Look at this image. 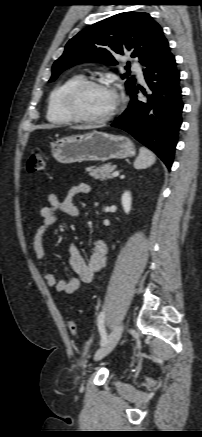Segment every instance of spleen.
<instances>
[{
	"instance_id": "1",
	"label": "spleen",
	"mask_w": 202,
	"mask_h": 437,
	"mask_svg": "<svg viewBox=\"0 0 202 437\" xmlns=\"http://www.w3.org/2000/svg\"><path fill=\"white\" fill-rule=\"evenodd\" d=\"M156 162V156L152 151L145 147H141L139 155L134 161V167L138 170L146 169Z\"/></svg>"
}]
</instances>
